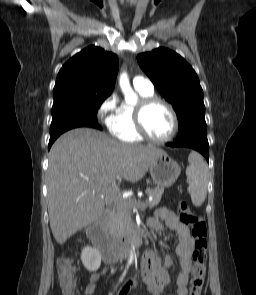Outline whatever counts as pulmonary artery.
Wrapping results in <instances>:
<instances>
[{
  "mask_svg": "<svg viewBox=\"0 0 256 295\" xmlns=\"http://www.w3.org/2000/svg\"><path fill=\"white\" fill-rule=\"evenodd\" d=\"M133 86L136 89L147 92H151L154 89L152 82L149 79L142 76H137L133 79Z\"/></svg>",
  "mask_w": 256,
  "mask_h": 295,
  "instance_id": "obj_1",
  "label": "pulmonary artery"
}]
</instances>
